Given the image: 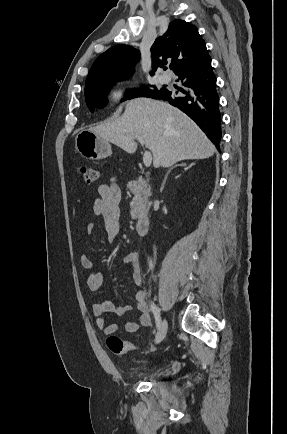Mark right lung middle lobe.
Wrapping results in <instances>:
<instances>
[{"instance_id": "1", "label": "right lung middle lobe", "mask_w": 287, "mask_h": 434, "mask_svg": "<svg viewBox=\"0 0 287 434\" xmlns=\"http://www.w3.org/2000/svg\"><path fill=\"white\" fill-rule=\"evenodd\" d=\"M121 79L124 78H115L85 85L86 104L92 112H94L95 108H102L103 106H105V95L108 93L112 85H114L117 80ZM155 91H158L156 87H154V90H151L148 87H141L140 89H135L131 92L126 93L125 99L133 98L136 96L148 97V95Z\"/></svg>"}]
</instances>
